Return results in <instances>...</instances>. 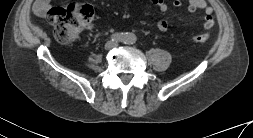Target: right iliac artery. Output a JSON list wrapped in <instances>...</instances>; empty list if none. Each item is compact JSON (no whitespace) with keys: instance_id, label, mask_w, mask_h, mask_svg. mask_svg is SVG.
I'll return each instance as SVG.
<instances>
[{"instance_id":"1","label":"right iliac artery","mask_w":253,"mask_h":138,"mask_svg":"<svg viewBox=\"0 0 253 138\" xmlns=\"http://www.w3.org/2000/svg\"><path fill=\"white\" fill-rule=\"evenodd\" d=\"M123 34L122 33H115L111 35L112 41H121L123 39Z\"/></svg>"}]
</instances>
